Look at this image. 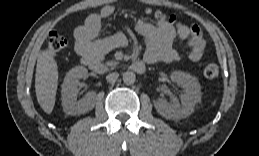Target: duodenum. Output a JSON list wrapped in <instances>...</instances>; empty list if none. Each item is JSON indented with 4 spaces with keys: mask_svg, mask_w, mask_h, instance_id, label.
<instances>
[{
    "mask_svg": "<svg viewBox=\"0 0 259 156\" xmlns=\"http://www.w3.org/2000/svg\"><path fill=\"white\" fill-rule=\"evenodd\" d=\"M83 62L94 72L102 74L108 71V67L101 62L99 59L93 58L91 56H84ZM129 68L135 73L142 74L146 70V66L143 62L137 61L132 63Z\"/></svg>",
    "mask_w": 259,
    "mask_h": 156,
    "instance_id": "obj_1",
    "label": "duodenum"
}]
</instances>
